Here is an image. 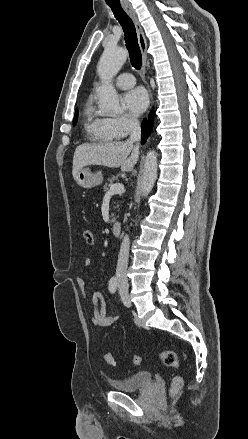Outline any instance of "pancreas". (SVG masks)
<instances>
[{
    "mask_svg": "<svg viewBox=\"0 0 248 439\" xmlns=\"http://www.w3.org/2000/svg\"><path fill=\"white\" fill-rule=\"evenodd\" d=\"M117 180H118L117 176H112V177L108 178L109 183H105L104 190H107V188L110 187L113 184V182H115ZM114 208H117V207H114ZM111 217H112V220L110 222L114 223L116 221L115 215L112 213Z\"/></svg>",
    "mask_w": 248,
    "mask_h": 439,
    "instance_id": "obj_1",
    "label": "pancreas"
}]
</instances>
